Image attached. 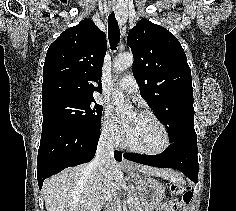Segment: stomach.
I'll return each mask as SVG.
<instances>
[{
	"instance_id": "obj_1",
	"label": "stomach",
	"mask_w": 236,
	"mask_h": 211,
	"mask_svg": "<svg viewBox=\"0 0 236 211\" xmlns=\"http://www.w3.org/2000/svg\"><path fill=\"white\" fill-rule=\"evenodd\" d=\"M136 183L143 211H154L164 198L165 188L151 176L141 178L136 174Z\"/></svg>"
}]
</instances>
